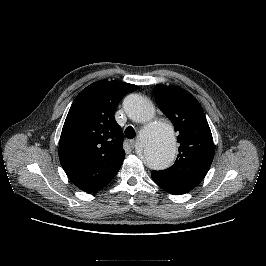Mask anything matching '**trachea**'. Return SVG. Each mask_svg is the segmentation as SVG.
Here are the masks:
<instances>
[{"mask_svg": "<svg viewBox=\"0 0 266 266\" xmlns=\"http://www.w3.org/2000/svg\"><path fill=\"white\" fill-rule=\"evenodd\" d=\"M125 136L129 139H133L135 136H136V132L134 130L133 127L131 126H128L126 129H125Z\"/></svg>", "mask_w": 266, "mask_h": 266, "instance_id": "trachea-1", "label": "trachea"}]
</instances>
